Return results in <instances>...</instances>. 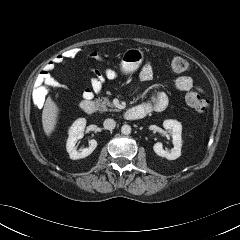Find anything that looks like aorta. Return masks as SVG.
<instances>
[{
    "mask_svg": "<svg viewBox=\"0 0 240 240\" xmlns=\"http://www.w3.org/2000/svg\"><path fill=\"white\" fill-rule=\"evenodd\" d=\"M121 132L124 135H129L131 133V127L129 125H123L121 127Z\"/></svg>",
    "mask_w": 240,
    "mask_h": 240,
    "instance_id": "762f6f07",
    "label": "aorta"
}]
</instances>
